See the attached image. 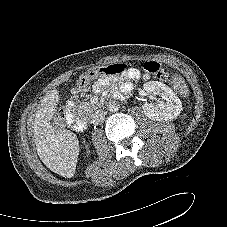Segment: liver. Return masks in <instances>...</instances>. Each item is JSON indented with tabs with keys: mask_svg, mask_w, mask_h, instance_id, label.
Wrapping results in <instances>:
<instances>
[{
	"mask_svg": "<svg viewBox=\"0 0 227 227\" xmlns=\"http://www.w3.org/2000/svg\"><path fill=\"white\" fill-rule=\"evenodd\" d=\"M59 103V92L54 89L46 93L34 116V142L39 158L52 172L63 177H73L79 155L76 135L64 128L50 125Z\"/></svg>",
	"mask_w": 227,
	"mask_h": 227,
	"instance_id": "6515ba94",
	"label": "liver"
}]
</instances>
